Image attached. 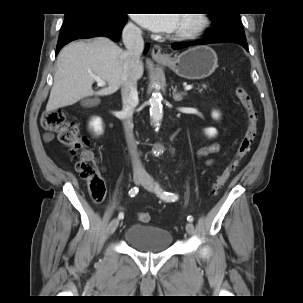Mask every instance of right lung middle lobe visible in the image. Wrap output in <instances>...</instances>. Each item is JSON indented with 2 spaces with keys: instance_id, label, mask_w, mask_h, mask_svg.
<instances>
[{
  "instance_id": "obj_1",
  "label": "right lung middle lobe",
  "mask_w": 303,
  "mask_h": 303,
  "mask_svg": "<svg viewBox=\"0 0 303 303\" xmlns=\"http://www.w3.org/2000/svg\"><path fill=\"white\" fill-rule=\"evenodd\" d=\"M93 11V10H92ZM95 12H98L97 10H94ZM112 15H119V14H112Z\"/></svg>"
}]
</instances>
